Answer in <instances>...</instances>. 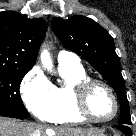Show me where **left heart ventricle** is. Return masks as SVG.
<instances>
[{
  "instance_id": "obj_1",
  "label": "left heart ventricle",
  "mask_w": 136,
  "mask_h": 136,
  "mask_svg": "<svg viewBox=\"0 0 136 136\" xmlns=\"http://www.w3.org/2000/svg\"><path fill=\"white\" fill-rule=\"evenodd\" d=\"M89 109L95 117L100 119H105L112 115L114 110L113 101L103 87H96L91 92Z\"/></svg>"
}]
</instances>
